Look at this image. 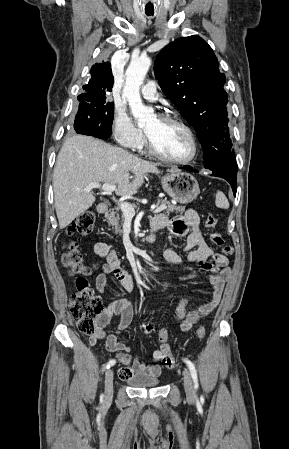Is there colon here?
<instances>
[{
    "label": "colon",
    "instance_id": "colon-1",
    "mask_svg": "<svg viewBox=\"0 0 289 449\" xmlns=\"http://www.w3.org/2000/svg\"><path fill=\"white\" fill-rule=\"evenodd\" d=\"M94 221L95 213L93 211L88 210L81 213L70 225L69 234H88L92 229ZM205 226L212 230L216 229L217 218L214 214H207ZM210 240L214 245L222 246V252L225 255H231L233 253L231 246L224 245L223 236L219 232L213 231L210 234ZM62 262L68 268L71 275L78 276L76 280V291L71 295L69 300L71 314L81 333L93 335L100 325L105 307L102 299L94 293L84 277L92 272V268L83 264L82 255L74 242L65 244ZM142 329L145 334H151L154 331V327L150 323H145ZM205 332L204 327H199L196 334L202 338L205 336ZM158 339L160 342L159 351L161 353L162 363L168 368H173L177 362L171 354L167 329L161 328L158 331Z\"/></svg>",
    "mask_w": 289,
    "mask_h": 449
}]
</instances>
